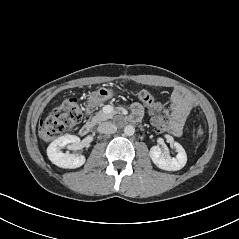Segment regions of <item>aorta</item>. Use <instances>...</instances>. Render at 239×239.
Here are the masks:
<instances>
[{"label":"aorta","instance_id":"obj_1","mask_svg":"<svg viewBox=\"0 0 239 239\" xmlns=\"http://www.w3.org/2000/svg\"><path fill=\"white\" fill-rule=\"evenodd\" d=\"M135 133V128L132 125H127L124 128V134L126 136H132Z\"/></svg>","mask_w":239,"mask_h":239}]
</instances>
